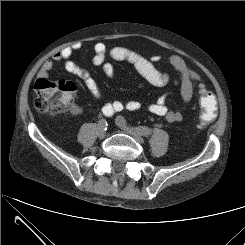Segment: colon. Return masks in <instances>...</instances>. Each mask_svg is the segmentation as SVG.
<instances>
[{
    "instance_id": "obj_1",
    "label": "colon",
    "mask_w": 245,
    "mask_h": 245,
    "mask_svg": "<svg viewBox=\"0 0 245 245\" xmlns=\"http://www.w3.org/2000/svg\"><path fill=\"white\" fill-rule=\"evenodd\" d=\"M76 92L75 85L66 80L39 79L35 83V108L42 113L58 115L71 110ZM201 113L199 121L202 125L216 118L217 106L214 94L203 85L199 89Z\"/></svg>"
}]
</instances>
